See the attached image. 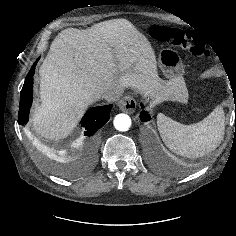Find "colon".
Masks as SVG:
<instances>
[{"instance_id":"5ec220e1","label":"colon","mask_w":236,"mask_h":236,"mask_svg":"<svg viewBox=\"0 0 236 236\" xmlns=\"http://www.w3.org/2000/svg\"><path fill=\"white\" fill-rule=\"evenodd\" d=\"M151 35L156 40L181 48L192 55L203 58L210 56V51L205 43L191 32L178 28L155 25L152 27Z\"/></svg>"}]
</instances>
